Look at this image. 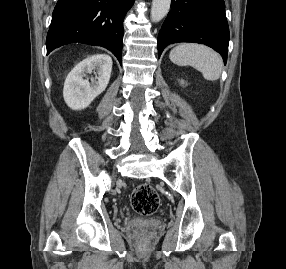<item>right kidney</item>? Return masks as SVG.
Instances as JSON below:
<instances>
[{"label":"right kidney","instance_id":"obj_1","mask_svg":"<svg viewBox=\"0 0 286 269\" xmlns=\"http://www.w3.org/2000/svg\"><path fill=\"white\" fill-rule=\"evenodd\" d=\"M112 59L105 54L92 55L80 63L68 74L63 89L66 104L73 110H81L102 93L110 80ZM95 73V78L85 79L86 74Z\"/></svg>","mask_w":286,"mask_h":269}]
</instances>
